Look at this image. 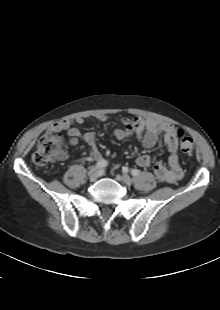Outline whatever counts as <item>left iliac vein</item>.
I'll use <instances>...</instances> for the list:
<instances>
[{"label":"left iliac vein","mask_w":220,"mask_h":310,"mask_svg":"<svg viewBox=\"0 0 220 310\" xmlns=\"http://www.w3.org/2000/svg\"><path fill=\"white\" fill-rule=\"evenodd\" d=\"M121 181L127 185H130L132 183V179L129 175L127 174H123L121 177H120Z\"/></svg>","instance_id":"obj_1"}]
</instances>
